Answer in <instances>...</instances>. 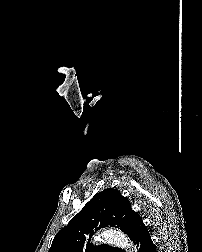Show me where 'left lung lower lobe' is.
Masks as SVG:
<instances>
[{"mask_svg": "<svg viewBox=\"0 0 202 252\" xmlns=\"http://www.w3.org/2000/svg\"><path fill=\"white\" fill-rule=\"evenodd\" d=\"M134 242L137 244V247H139V252H157L150 238L149 231L142 220L139 221L135 227Z\"/></svg>", "mask_w": 202, "mask_h": 252, "instance_id": "0a47b994", "label": "left lung lower lobe"}]
</instances>
